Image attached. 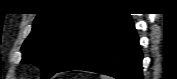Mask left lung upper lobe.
<instances>
[{
    "instance_id": "1",
    "label": "left lung upper lobe",
    "mask_w": 177,
    "mask_h": 79,
    "mask_svg": "<svg viewBox=\"0 0 177 79\" xmlns=\"http://www.w3.org/2000/svg\"><path fill=\"white\" fill-rule=\"evenodd\" d=\"M106 14L104 11L39 13L21 48L22 63L37 64L42 68V78H50Z\"/></svg>"
}]
</instances>
